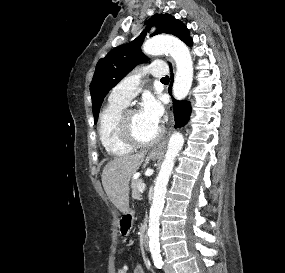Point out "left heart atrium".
I'll use <instances>...</instances> for the list:
<instances>
[{
    "label": "left heart atrium",
    "instance_id": "39dd6f15",
    "mask_svg": "<svg viewBox=\"0 0 285 273\" xmlns=\"http://www.w3.org/2000/svg\"><path fill=\"white\" fill-rule=\"evenodd\" d=\"M139 114L146 121L159 126L163 116V106L159 100L148 95L142 101Z\"/></svg>",
    "mask_w": 285,
    "mask_h": 273
}]
</instances>
